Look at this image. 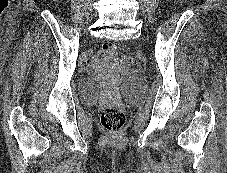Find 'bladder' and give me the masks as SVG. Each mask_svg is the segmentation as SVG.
<instances>
[{
	"label": "bladder",
	"mask_w": 227,
	"mask_h": 173,
	"mask_svg": "<svg viewBox=\"0 0 227 173\" xmlns=\"http://www.w3.org/2000/svg\"><path fill=\"white\" fill-rule=\"evenodd\" d=\"M119 94L128 102L139 101L145 92L144 82L135 76H127L117 87ZM101 85L90 79L83 80L79 85V95L85 104H93L101 94Z\"/></svg>",
	"instance_id": "31cf9c89"
}]
</instances>
